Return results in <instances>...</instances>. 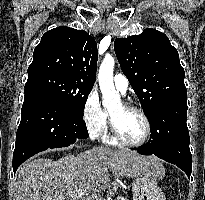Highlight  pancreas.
<instances>
[{
	"mask_svg": "<svg viewBox=\"0 0 205 200\" xmlns=\"http://www.w3.org/2000/svg\"><path fill=\"white\" fill-rule=\"evenodd\" d=\"M114 200H127V198H117V199H114Z\"/></svg>",
	"mask_w": 205,
	"mask_h": 200,
	"instance_id": "obj_1",
	"label": "pancreas"
}]
</instances>
